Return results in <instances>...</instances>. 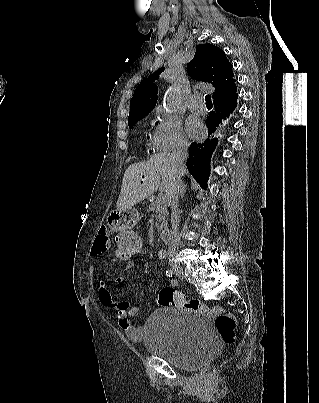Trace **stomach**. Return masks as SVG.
<instances>
[{
    "label": "stomach",
    "mask_w": 319,
    "mask_h": 403,
    "mask_svg": "<svg viewBox=\"0 0 319 403\" xmlns=\"http://www.w3.org/2000/svg\"><path fill=\"white\" fill-rule=\"evenodd\" d=\"M137 219V211L128 208L125 210H111L107 217V222L109 228L112 229L113 234L116 236L118 234L133 232V228H137Z\"/></svg>",
    "instance_id": "stomach-1"
}]
</instances>
